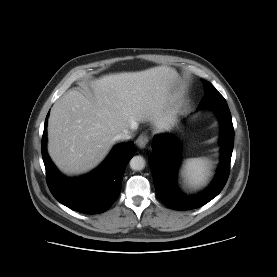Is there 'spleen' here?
I'll return each instance as SVG.
<instances>
[{"label": "spleen", "instance_id": "1", "mask_svg": "<svg viewBox=\"0 0 277 277\" xmlns=\"http://www.w3.org/2000/svg\"><path fill=\"white\" fill-rule=\"evenodd\" d=\"M210 173V161L204 157L184 160L181 174L184 182L190 187H200L207 181Z\"/></svg>", "mask_w": 277, "mask_h": 277}]
</instances>
